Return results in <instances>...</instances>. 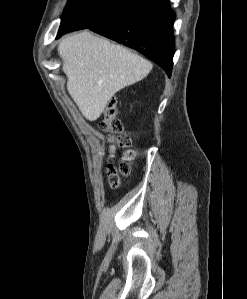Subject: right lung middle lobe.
Returning <instances> with one entry per match:
<instances>
[{"label":"right lung middle lobe","instance_id":"obj_1","mask_svg":"<svg viewBox=\"0 0 247 299\" xmlns=\"http://www.w3.org/2000/svg\"><path fill=\"white\" fill-rule=\"evenodd\" d=\"M134 0H68L57 37L64 33L91 28L127 9Z\"/></svg>","mask_w":247,"mask_h":299}]
</instances>
